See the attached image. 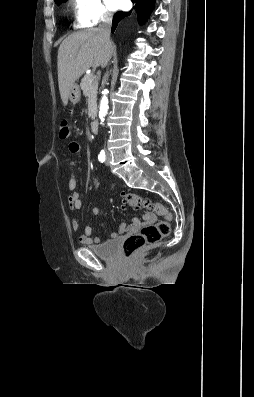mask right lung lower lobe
<instances>
[{"label": "right lung lower lobe", "instance_id": "right-lung-lower-lobe-1", "mask_svg": "<svg viewBox=\"0 0 254 397\" xmlns=\"http://www.w3.org/2000/svg\"><path fill=\"white\" fill-rule=\"evenodd\" d=\"M135 4L136 14L139 23H144L149 17L155 0H131ZM131 12H117L113 18L112 33L115 31L117 24L124 18L130 16Z\"/></svg>", "mask_w": 254, "mask_h": 397}]
</instances>
